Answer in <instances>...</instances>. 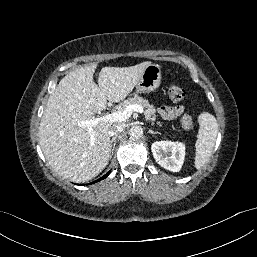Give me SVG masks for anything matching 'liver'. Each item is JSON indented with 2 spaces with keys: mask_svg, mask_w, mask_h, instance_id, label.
I'll return each instance as SVG.
<instances>
[{
  "mask_svg": "<svg viewBox=\"0 0 257 257\" xmlns=\"http://www.w3.org/2000/svg\"><path fill=\"white\" fill-rule=\"evenodd\" d=\"M146 61L130 67H103L98 85L93 81L97 64L67 74L49 96L39 126L40 146L49 165L73 182L96 177L108 164L111 122L93 126L94 141L87 127L78 123L106 109L107 101L125 99L136 86Z\"/></svg>",
  "mask_w": 257,
  "mask_h": 257,
  "instance_id": "1",
  "label": "liver"
}]
</instances>
